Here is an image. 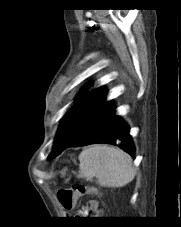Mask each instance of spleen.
<instances>
[{"label": "spleen", "instance_id": "1", "mask_svg": "<svg viewBox=\"0 0 181 227\" xmlns=\"http://www.w3.org/2000/svg\"><path fill=\"white\" fill-rule=\"evenodd\" d=\"M80 176L96 177L101 187L120 188L130 183L136 174L132 158L123 150L107 145H92L79 155Z\"/></svg>", "mask_w": 181, "mask_h": 227}]
</instances>
